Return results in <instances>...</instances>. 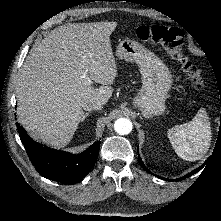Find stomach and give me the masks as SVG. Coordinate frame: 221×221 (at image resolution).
I'll list each match as a JSON object with an SVG mask.
<instances>
[{
	"label": "stomach",
	"mask_w": 221,
	"mask_h": 221,
	"mask_svg": "<svg viewBox=\"0 0 221 221\" xmlns=\"http://www.w3.org/2000/svg\"><path fill=\"white\" fill-rule=\"evenodd\" d=\"M116 55L120 59L138 65L142 77V89L133 103L145 118L160 115L173 83L172 75L163 61L136 41L125 39L119 43Z\"/></svg>",
	"instance_id": "obj_1"
}]
</instances>
